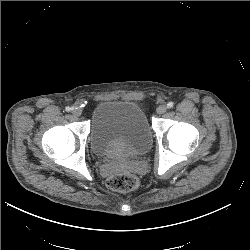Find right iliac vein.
Segmentation results:
<instances>
[{"label":"right iliac vein","instance_id":"right-iliac-vein-1","mask_svg":"<svg viewBox=\"0 0 250 250\" xmlns=\"http://www.w3.org/2000/svg\"><path fill=\"white\" fill-rule=\"evenodd\" d=\"M72 114H73V116H75V117H79V116H81L82 111H81L80 109L76 108V109H74V110L72 111Z\"/></svg>","mask_w":250,"mask_h":250}]
</instances>
